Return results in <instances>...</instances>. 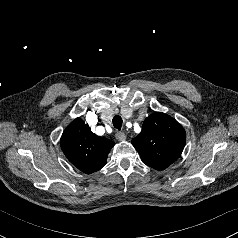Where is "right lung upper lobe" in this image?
Returning a JSON list of instances; mask_svg holds the SVG:
<instances>
[{"label": "right lung upper lobe", "instance_id": "1", "mask_svg": "<svg viewBox=\"0 0 238 238\" xmlns=\"http://www.w3.org/2000/svg\"><path fill=\"white\" fill-rule=\"evenodd\" d=\"M60 145L67 159L76 168L90 174L106 164L114 142L97 136L81 118H76L64 130Z\"/></svg>", "mask_w": 238, "mask_h": 238}]
</instances>
